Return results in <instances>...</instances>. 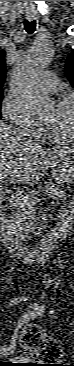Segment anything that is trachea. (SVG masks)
Wrapping results in <instances>:
<instances>
[{"label": "trachea", "mask_w": 74, "mask_h": 366, "mask_svg": "<svg viewBox=\"0 0 74 366\" xmlns=\"http://www.w3.org/2000/svg\"><path fill=\"white\" fill-rule=\"evenodd\" d=\"M24 29L28 34H33L36 30V21L33 20L29 22L28 20H25L24 22Z\"/></svg>", "instance_id": "3493384b"}]
</instances>
